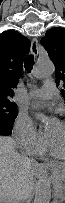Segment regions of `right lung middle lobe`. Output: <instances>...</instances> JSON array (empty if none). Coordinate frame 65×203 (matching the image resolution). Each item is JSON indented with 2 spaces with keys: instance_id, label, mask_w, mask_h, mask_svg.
<instances>
[{
  "instance_id": "dd1d6c3e",
  "label": "right lung middle lobe",
  "mask_w": 65,
  "mask_h": 203,
  "mask_svg": "<svg viewBox=\"0 0 65 203\" xmlns=\"http://www.w3.org/2000/svg\"><path fill=\"white\" fill-rule=\"evenodd\" d=\"M17 113L14 103L0 100V128L5 129L9 133L12 132Z\"/></svg>"
}]
</instances>
